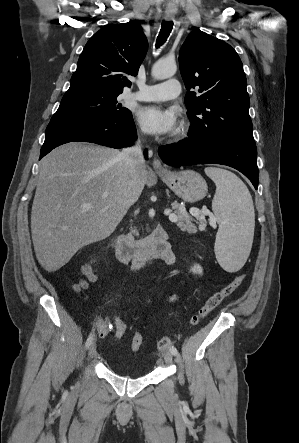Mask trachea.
I'll return each mask as SVG.
<instances>
[{
  "label": "trachea",
  "instance_id": "3493384b",
  "mask_svg": "<svg viewBox=\"0 0 299 443\" xmlns=\"http://www.w3.org/2000/svg\"><path fill=\"white\" fill-rule=\"evenodd\" d=\"M173 28V22L172 21H163L161 24V30L159 32V35L157 37V41H156V48H159L160 46H162L166 41L167 38L169 37L171 31Z\"/></svg>",
  "mask_w": 299,
  "mask_h": 443
}]
</instances>
